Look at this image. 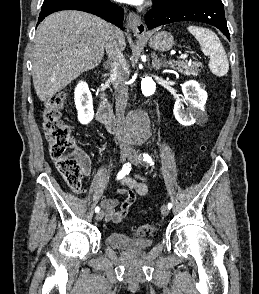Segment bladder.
I'll return each instance as SVG.
<instances>
[{
    "label": "bladder",
    "instance_id": "1",
    "mask_svg": "<svg viewBox=\"0 0 259 294\" xmlns=\"http://www.w3.org/2000/svg\"><path fill=\"white\" fill-rule=\"evenodd\" d=\"M106 242L111 247L127 253L145 251L152 245V241L149 239L131 237L120 232L109 233Z\"/></svg>",
    "mask_w": 259,
    "mask_h": 294
}]
</instances>
